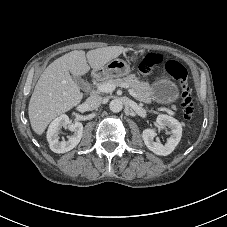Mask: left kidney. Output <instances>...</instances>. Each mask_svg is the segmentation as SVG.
Masks as SVG:
<instances>
[{
    "instance_id": "1",
    "label": "left kidney",
    "mask_w": 227,
    "mask_h": 227,
    "mask_svg": "<svg viewBox=\"0 0 227 227\" xmlns=\"http://www.w3.org/2000/svg\"><path fill=\"white\" fill-rule=\"evenodd\" d=\"M155 126L158 129H166L168 127L171 130V136L167 139V143L163 145L161 142H155L153 139L157 134L155 129L151 128L143 130L142 137L144 143L146 147L156 155H169L180 142L182 137V124L173 117L159 115L156 119Z\"/></svg>"
}]
</instances>
